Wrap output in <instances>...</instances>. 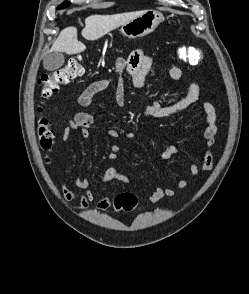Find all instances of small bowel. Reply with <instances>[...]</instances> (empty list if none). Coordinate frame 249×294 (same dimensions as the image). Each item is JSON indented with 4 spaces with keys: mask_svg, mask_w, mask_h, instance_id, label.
<instances>
[{
    "mask_svg": "<svg viewBox=\"0 0 249 294\" xmlns=\"http://www.w3.org/2000/svg\"><path fill=\"white\" fill-rule=\"evenodd\" d=\"M153 64V58L147 54L143 49H137L127 60L123 58L118 59V68L121 71H125L130 77L132 85L136 89H140L144 86L145 78ZM169 75L172 81L177 84L182 77V70L177 65H172L169 69ZM108 85L107 79H101L91 83L78 97V104L81 107H89L94 98L101 93ZM116 101L119 106L125 105V88L122 78L119 79L116 89ZM195 103H200V108L205 115L207 126L204 128L202 136L207 141V147L202 153V165L201 169L208 171L212 169L214 154L213 147L215 144V137L217 133L216 121L217 115L214 106L202 99L201 90L198 84L192 83L189 85L186 94L178 101L172 104H165L163 100L158 99L152 104L148 105L144 110V115L149 118H164L177 114ZM94 123V117L87 112H78L75 117L70 120L62 132V140L68 142L73 133L80 131L81 136L85 139L91 137V127ZM108 135L111 138H118L124 136L127 139H133L135 135L130 131L120 132L117 129H109ZM123 150V146L119 143H115L111 146V151L108 155L109 161L113 162L118 159L119 153ZM178 153V148L175 145L166 146L161 152V158L163 160H169ZM200 167L192 162L189 166V174L191 177H196L199 174ZM110 181H118L126 185H131L130 178L119 172L116 166L109 165L104 171L99 180V185L106 184ZM188 185L185 178H178L175 187H162L157 186L149 195V201L151 203H157L165 197H173L177 193L183 191ZM75 186L77 190H71L68 184H64L62 192L64 197L69 200H78L79 203L76 206L78 210H85L89 204L93 201L95 193L91 189L89 179L85 177H78L75 179ZM114 195H108L103 197L96 204V210L98 212L106 211L111 208L115 200Z\"/></svg>",
    "mask_w": 249,
    "mask_h": 294,
    "instance_id": "obj_1",
    "label": "small bowel"
}]
</instances>
